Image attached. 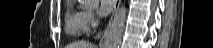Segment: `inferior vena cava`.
I'll return each mask as SVG.
<instances>
[{
	"mask_svg": "<svg viewBox=\"0 0 213 48\" xmlns=\"http://www.w3.org/2000/svg\"><path fill=\"white\" fill-rule=\"evenodd\" d=\"M96 39L99 38V34L95 37Z\"/></svg>",
	"mask_w": 213,
	"mask_h": 48,
	"instance_id": "inferior-vena-cava-1",
	"label": "inferior vena cava"
}]
</instances>
